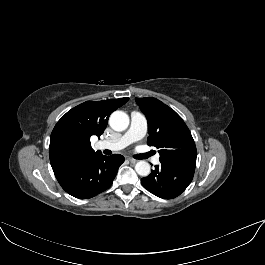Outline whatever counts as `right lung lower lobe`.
<instances>
[{
    "instance_id": "right-lung-lower-lobe-1",
    "label": "right lung lower lobe",
    "mask_w": 265,
    "mask_h": 265,
    "mask_svg": "<svg viewBox=\"0 0 265 265\" xmlns=\"http://www.w3.org/2000/svg\"><path fill=\"white\" fill-rule=\"evenodd\" d=\"M124 160L119 154L104 156L99 153L55 176L67 193L79 199H88L111 186Z\"/></svg>"
}]
</instances>
